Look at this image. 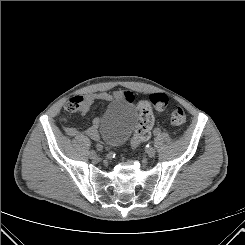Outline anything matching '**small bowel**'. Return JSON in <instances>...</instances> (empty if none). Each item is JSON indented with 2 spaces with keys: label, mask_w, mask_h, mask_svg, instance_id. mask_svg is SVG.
<instances>
[{
  "label": "small bowel",
  "mask_w": 245,
  "mask_h": 245,
  "mask_svg": "<svg viewBox=\"0 0 245 245\" xmlns=\"http://www.w3.org/2000/svg\"><path fill=\"white\" fill-rule=\"evenodd\" d=\"M121 99L133 103L134 95L133 93L129 91H114L112 93L100 92V93L89 94L85 96L83 99L82 110L84 113H87L90 105L94 101H98V100L113 101V100H121ZM65 132L71 137H76L81 134V132L74 126H67L65 128ZM85 134L95 140L99 138V120L98 119H95L92 122V125L85 130Z\"/></svg>",
  "instance_id": "small-bowel-1"
}]
</instances>
